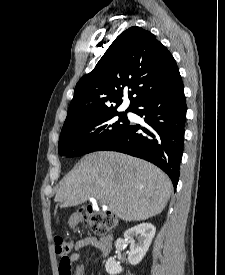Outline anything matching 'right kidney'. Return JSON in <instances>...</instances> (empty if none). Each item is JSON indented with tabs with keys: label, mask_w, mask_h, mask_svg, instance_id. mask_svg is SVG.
<instances>
[{
	"label": "right kidney",
	"mask_w": 225,
	"mask_h": 275,
	"mask_svg": "<svg viewBox=\"0 0 225 275\" xmlns=\"http://www.w3.org/2000/svg\"><path fill=\"white\" fill-rule=\"evenodd\" d=\"M156 228L151 223H142L128 229L124 233V238L130 243V252L128 261L131 265H137L146 255L152 239L154 238ZM134 238L137 239L135 242ZM106 271L110 275H116L122 272L119 262L114 257H110L105 265Z\"/></svg>",
	"instance_id": "right-kidney-1"
}]
</instances>
